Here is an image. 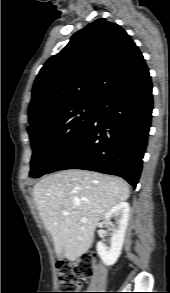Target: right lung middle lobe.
<instances>
[{
	"instance_id": "1",
	"label": "right lung middle lobe",
	"mask_w": 170,
	"mask_h": 293,
	"mask_svg": "<svg viewBox=\"0 0 170 293\" xmlns=\"http://www.w3.org/2000/svg\"><path fill=\"white\" fill-rule=\"evenodd\" d=\"M96 105H79L28 128L33 155L30 176L38 178L79 138L95 117Z\"/></svg>"
}]
</instances>
